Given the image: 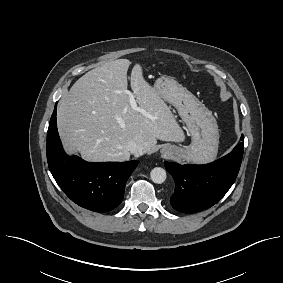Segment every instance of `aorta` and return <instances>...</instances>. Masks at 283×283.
Listing matches in <instances>:
<instances>
[{
	"mask_svg": "<svg viewBox=\"0 0 283 283\" xmlns=\"http://www.w3.org/2000/svg\"><path fill=\"white\" fill-rule=\"evenodd\" d=\"M166 171L161 167H155L150 172V178L154 183L161 184L166 180Z\"/></svg>",
	"mask_w": 283,
	"mask_h": 283,
	"instance_id": "obj_1",
	"label": "aorta"
}]
</instances>
